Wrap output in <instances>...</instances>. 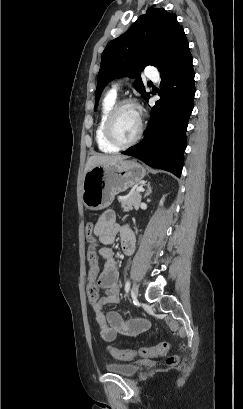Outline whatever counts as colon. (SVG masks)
Segmentation results:
<instances>
[{"label":"colon","instance_id":"obj_1","mask_svg":"<svg viewBox=\"0 0 243 409\" xmlns=\"http://www.w3.org/2000/svg\"><path fill=\"white\" fill-rule=\"evenodd\" d=\"M94 224L92 222H88L85 226V233L90 242V247L88 249V258L93 259L96 256V240L94 238ZM87 295L89 301L92 304L97 303L99 300V290L95 286H87ZM168 343L163 341L157 346L153 347H139L135 350L126 349L120 350L115 348H109V353L120 360L130 361L135 359L136 357H154L158 355L165 354L168 351ZM167 362L170 366H175L179 363V356L172 355L168 357Z\"/></svg>","mask_w":243,"mask_h":409}]
</instances>
